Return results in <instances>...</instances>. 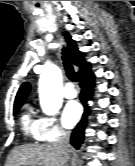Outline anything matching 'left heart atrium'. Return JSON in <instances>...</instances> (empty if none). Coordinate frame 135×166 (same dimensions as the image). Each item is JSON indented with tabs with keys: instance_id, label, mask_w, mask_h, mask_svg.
I'll return each mask as SVG.
<instances>
[{
	"instance_id": "39dd6f15",
	"label": "left heart atrium",
	"mask_w": 135,
	"mask_h": 166,
	"mask_svg": "<svg viewBox=\"0 0 135 166\" xmlns=\"http://www.w3.org/2000/svg\"><path fill=\"white\" fill-rule=\"evenodd\" d=\"M80 116V108L76 102H69L62 114V123L65 127L71 128L78 121Z\"/></svg>"
}]
</instances>
